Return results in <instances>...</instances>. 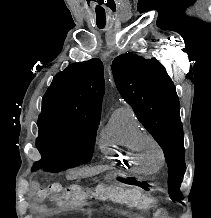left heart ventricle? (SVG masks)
Wrapping results in <instances>:
<instances>
[{
  "instance_id": "obj_1",
  "label": "left heart ventricle",
  "mask_w": 211,
  "mask_h": 218,
  "mask_svg": "<svg viewBox=\"0 0 211 218\" xmlns=\"http://www.w3.org/2000/svg\"><path fill=\"white\" fill-rule=\"evenodd\" d=\"M144 160L152 166L158 165L157 149L152 143H146L142 149Z\"/></svg>"
}]
</instances>
